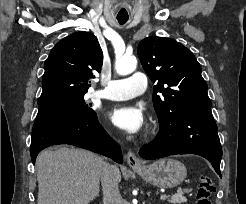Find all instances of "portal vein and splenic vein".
I'll list each match as a JSON object with an SVG mask.
<instances>
[{"label":"portal vein and splenic vein","mask_w":246,"mask_h":204,"mask_svg":"<svg viewBox=\"0 0 246 204\" xmlns=\"http://www.w3.org/2000/svg\"><path fill=\"white\" fill-rule=\"evenodd\" d=\"M176 195H182V193H177ZM161 200H164V199H167V196L166 195H162L160 197Z\"/></svg>","instance_id":"18ae733b"}]
</instances>
